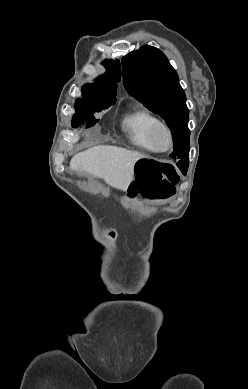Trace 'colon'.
I'll return each instance as SVG.
<instances>
[{
  "mask_svg": "<svg viewBox=\"0 0 248 389\" xmlns=\"http://www.w3.org/2000/svg\"><path fill=\"white\" fill-rule=\"evenodd\" d=\"M134 175L130 179L128 197L136 199L164 200L175 192L179 174L170 161H155L151 157H138Z\"/></svg>",
  "mask_w": 248,
  "mask_h": 389,
  "instance_id": "obj_1",
  "label": "colon"
}]
</instances>
